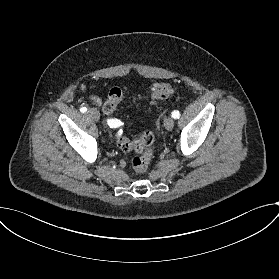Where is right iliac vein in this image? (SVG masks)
I'll use <instances>...</instances> for the list:
<instances>
[{
    "label": "right iliac vein",
    "instance_id": "right-iliac-vein-1",
    "mask_svg": "<svg viewBox=\"0 0 279 279\" xmlns=\"http://www.w3.org/2000/svg\"><path fill=\"white\" fill-rule=\"evenodd\" d=\"M96 121L99 120V111L96 108H91L88 112Z\"/></svg>",
    "mask_w": 279,
    "mask_h": 279
}]
</instances>
